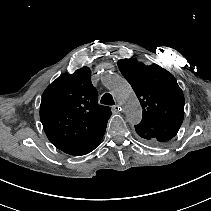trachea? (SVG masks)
<instances>
[{
  "label": "trachea",
  "mask_w": 211,
  "mask_h": 211,
  "mask_svg": "<svg viewBox=\"0 0 211 211\" xmlns=\"http://www.w3.org/2000/svg\"><path fill=\"white\" fill-rule=\"evenodd\" d=\"M100 102H101L102 104L109 105V106L115 104V102H114V100H113V97H112V95H111L110 93H105V94L102 96Z\"/></svg>",
  "instance_id": "obj_1"
}]
</instances>
